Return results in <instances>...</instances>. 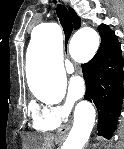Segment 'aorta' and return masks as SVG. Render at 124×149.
Masks as SVG:
<instances>
[{
    "label": "aorta",
    "instance_id": "762f6f07",
    "mask_svg": "<svg viewBox=\"0 0 124 149\" xmlns=\"http://www.w3.org/2000/svg\"><path fill=\"white\" fill-rule=\"evenodd\" d=\"M100 42L91 27L79 29L72 37L70 49L93 54ZM34 60L29 73V88L42 101H59L66 91V73L62 62L61 29L56 23H45L35 29L31 43ZM95 123V109L88 101L80 102L74 114L72 129L62 149H83Z\"/></svg>",
    "mask_w": 124,
    "mask_h": 149
}]
</instances>
